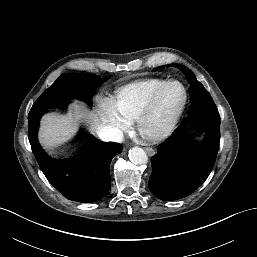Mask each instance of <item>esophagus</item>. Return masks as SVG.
I'll return each instance as SVG.
<instances>
[{"label": "esophagus", "instance_id": "esophagus-1", "mask_svg": "<svg viewBox=\"0 0 257 257\" xmlns=\"http://www.w3.org/2000/svg\"><path fill=\"white\" fill-rule=\"evenodd\" d=\"M144 151L148 154V156H153L155 154L154 149H152L150 147H145Z\"/></svg>", "mask_w": 257, "mask_h": 257}]
</instances>
